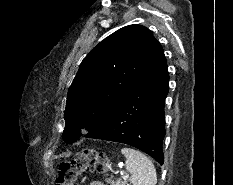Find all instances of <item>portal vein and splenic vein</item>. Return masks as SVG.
Wrapping results in <instances>:
<instances>
[{"instance_id":"1","label":"portal vein and splenic vein","mask_w":233,"mask_h":185,"mask_svg":"<svg viewBox=\"0 0 233 185\" xmlns=\"http://www.w3.org/2000/svg\"><path fill=\"white\" fill-rule=\"evenodd\" d=\"M128 176H129V174H125V175L123 176V179H127Z\"/></svg>"}]
</instances>
